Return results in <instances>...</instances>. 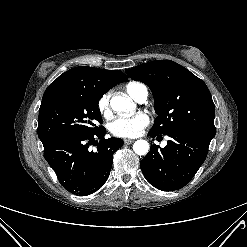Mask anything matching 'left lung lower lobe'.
Here are the masks:
<instances>
[{"label": "left lung lower lobe", "instance_id": "left-lung-lower-lobe-1", "mask_svg": "<svg viewBox=\"0 0 247 247\" xmlns=\"http://www.w3.org/2000/svg\"><path fill=\"white\" fill-rule=\"evenodd\" d=\"M152 137L161 136L149 132ZM160 148L153 145L140 162L146 180L162 191L179 190L189 183L206 159L212 139L196 132L175 130Z\"/></svg>", "mask_w": 247, "mask_h": 247}]
</instances>
